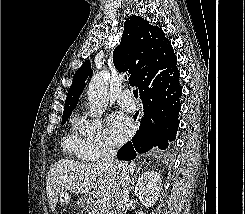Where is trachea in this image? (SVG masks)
<instances>
[{
    "mask_svg": "<svg viewBox=\"0 0 245 214\" xmlns=\"http://www.w3.org/2000/svg\"><path fill=\"white\" fill-rule=\"evenodd\" d=\"M134 97L137 99L138 98V90L133 91Z\"/></svg>",
    "mask_w": 245,
    "mask_h": 214,
    "instance_id": "obj_1",
    "label": "trachea"
}]
</instances>
